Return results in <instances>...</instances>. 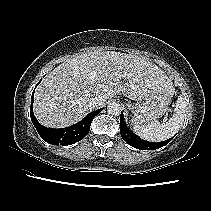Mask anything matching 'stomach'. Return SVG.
Segmentation results:
<instances>
[{
	"mask_svg": "<svg viewBox=\"0 0 211 211\" xmlns=\"http://www.w3.org/2000/svg\"><path fill=\"white\" fill-rule=\"evenodd\" d=\"M174 95L173 86L161 87L158 91L146 96L128 97L127 107L133 114V123L144 125L160 118L166 113ZM140 101V102H138Z\"/></svg>",
	"mask_w": 211,
	"mask_h": 211,
	"instance_id": "obj_1",
	"label": "stomach"
}]
</instances>
